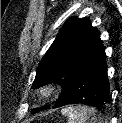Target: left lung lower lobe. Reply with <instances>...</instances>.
<instances>
[{
    "mask_svg": "<svg viewBox=\"0 0 122 123\" xmlns=\"http://www.w3.org/2000/svg\"><path fill=\"white\" fill-rule=\"evenodd\" d=\"M111 99L104 47L75 76L53 108L69 104L104 107Z\"/></svg>",
    "mask_w": 122,
    "mask_h": 123,
    "instance_id": "left-lung-lower-lobe-1",
    "label": "left lung lower lobe"
}]
</instances>
